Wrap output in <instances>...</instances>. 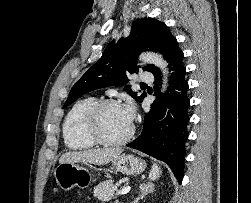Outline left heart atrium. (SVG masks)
I'll use <instances>...</instances> for the list:
<instances>
[{"mask_svg":"<svg viewBox=\"0 0 251 203\" xmlns=\"http://www.w3.org/2000/svg\"><path fill=\"white\" fill-rule=\"evenodd\" d=\"M122 110H123L125 116L127 117L128 121L130 123H132V121L134 119V107H133V105L130 102H128L127 104L122 106Z\"/></svg>","mask_w":251,"mask_h":203,"instance_id":"39dd6f15","label":"left heart atrium"}]
</instances>
